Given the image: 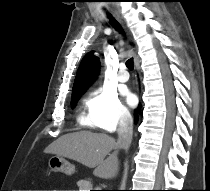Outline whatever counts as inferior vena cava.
I'll list each match as a JSON object with an SVG mask.
<instances>
[{
    "mask_svg": "<svg viewBox=\"0 0 210 191\" xmlns=\"http://www.w3.org/2000/svg\"><path fill=\"white\" fill-rule=\"evenodd\" d=\"M117 131V145L119 148L127 151L130 147L133 136V118L128 111L121 114Z\"/></svg>",
    "mask_w": 210,
    "mask_h": 191,
    "instance_id": "inferior-vena-cava-1",
    "label": "inferior vena cava"
}]
</instances>
